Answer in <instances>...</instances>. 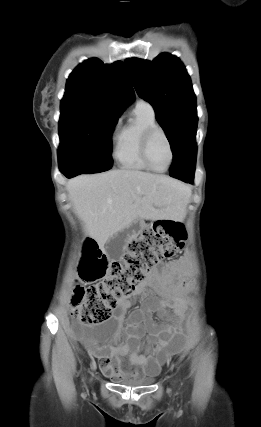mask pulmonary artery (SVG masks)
Instances as JSON below:
<instances>
[{
	"instance_id": "1",
	"label": "pulmonary artery",
	"mask_w": 261,
	"mask_h": 427,
	"mask_svg": "<svg viewBox=\"0 0 261 427\" xmlns=\"http://www.w3.org/2000/svg\"><path fill=\"white\" fill-rule=\"evenodd\" d=\"M136 107L142 108V109H144V110H146V111H148L150 113H154L152 105L149 102L145 101V100H139L137 102Z\"/></svg>"
}]
</instances>
